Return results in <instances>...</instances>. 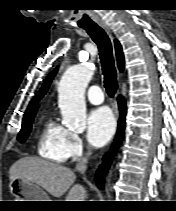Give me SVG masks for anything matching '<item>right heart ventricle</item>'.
Instances as JSON below:
<instances>
[{
    "label": "right heart ventricle",
    "mask_w": 176,
    "mask_h": 211,
    "mask_svg": "<svg viewBox=\"0 0 176 211\" xmlns=\"http://www.w3.org/2000/svg\"><path fill=\"white\" fill-rule=\"evenodd\" d=\"M68 131L52 117L46 118L40 126L37 137V151L45 159L62 163L67 159L66 140Z\"/></svg>",
    "instance_id": "1"
}]
</instances>
